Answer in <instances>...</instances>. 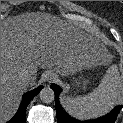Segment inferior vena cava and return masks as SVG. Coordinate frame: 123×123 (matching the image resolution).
Listing matches in <instances>:
<instances>
[{"mask_svg": "<svg viewBox=\"0 0 123 123\" xmlns=\"http://www.w3.org/2000/svg\"><path fill=\"white\" fill-rule=\"evenodd\" d=\"M21 78L25 81H29L30 80V74L28 72H24L21 74Z\"/></svg>", "mask_w": 123, "mask_h": 123, "instance_id": "inferior-vena-cava-1", "label": "inferior vena cava"}]
</instances>
